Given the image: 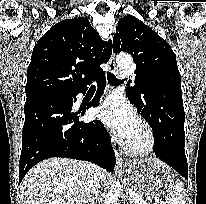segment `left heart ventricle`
<instances>
[{"mask_svg": "<svg viewBox=\"0 0 206 204\" xmlns=\"http://www.w3.org/2000/svg\"><path fill=\"white\" fill-rule=\"evenodd\" d=\"M130 142L137 144L143 140V135L140 126L138 123L136 124V127L134 131L132 132L131 136L127 139Z\"/></svg>", "mask_w": 206, "mask_h": 204, "instance_id": "1", "label": "left heart ventricle"}]
</instances>
